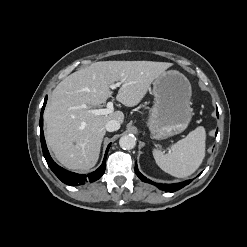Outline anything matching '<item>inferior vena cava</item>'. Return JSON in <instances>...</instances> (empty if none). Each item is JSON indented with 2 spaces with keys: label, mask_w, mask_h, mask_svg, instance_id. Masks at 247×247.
<instances>
[{
  "label": "inferior vena cava",
  "mask_w": 247,
  "mask_h": 247,
  "mask_svg": "<svg viewBox=\"0 0 247 247\" xmlns=\"http://www.w3.org/2000/svg\"><path fill=\"white\" fill-rule=\"evenodd\" d=\"M119 128L120 122L115 119L109 120L105 125V129L109 132L117 131Z\"/></svg>",
  "instance_id": "1"
}]
</instances>
